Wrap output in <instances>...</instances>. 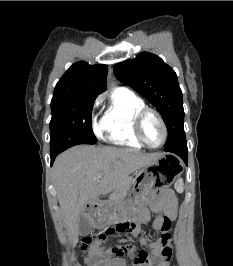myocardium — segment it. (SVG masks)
Here are the masks:
<instances>
[{"label":"myocardium","instance_id":"myocardium-1","mask_svg":"<svg viewBox=\"0 0 233 266\" xmlns=\"http://www.w3.org/2000/svg\"><path fill=\"white\" fill-rule=\"evenodd\" d=\"M149 114H152L154 115L158 121L160 122L161 126H162V129H163V138H162V141L160 142V144L158 145H151L149 144L144 135H143V130H142V127H143V122L145 120V118L149 115ZM133 129H134V134L136 136V138L138 139V141L148 147V148H151V149H157V148H160L162 147L166 140H167V136H168V130H167V125L162 117V115L155 109L153 108H149V107H144L142 108L141 110H139L135 116V119H134V124H133Z\"/></svg>","mask_w":233,"mask_h":266}]
</instances>
